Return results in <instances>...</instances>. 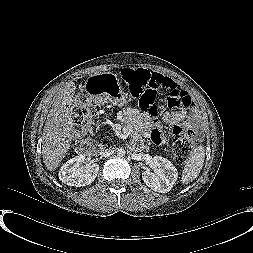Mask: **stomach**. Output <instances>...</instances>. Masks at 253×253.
<instances>
[{"instance_id": "0dacf381", "label": "stomach", "mask_w": 253, "mask_h": 253, "mask_svg": "<svg viewBox=\"0 0 253 253\" xmlns=\"http://www.w3.org/2000/svg\"><path fill=\"white\" fill-rule=\"evenodd\" d=\"M84 89L88 97L97 104L107 101L122 107L127 103V94L123 91L117 77L111 73H102L89 77Z\"/></svg>"}]
</instances>
